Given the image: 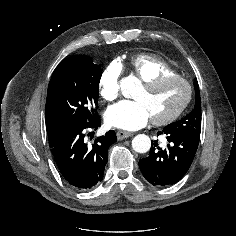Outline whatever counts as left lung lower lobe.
<instances>
[{"label":"left lung lower lobe","instance_id":"1","mask_svg":"<svg viewBox=\"0 0 236 236\" xmlns=\"http://www.w3.org/2000/svg\"><path fill=\"white\" fill-rule=\"evenodd\" d=\"M165 135L166 148L152 142L150 155L139 160V167L145 179L154 186H168L177 183L186 174L196 154L200 136L164 127L157 135Z\"/></svg>","mask_w":236,"mask_h":236}]
</instances>
